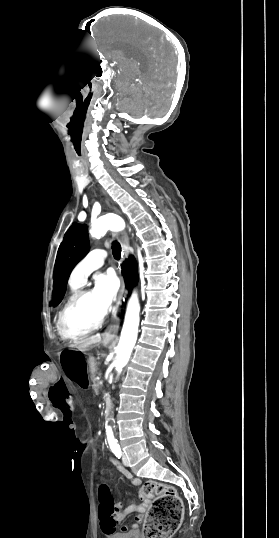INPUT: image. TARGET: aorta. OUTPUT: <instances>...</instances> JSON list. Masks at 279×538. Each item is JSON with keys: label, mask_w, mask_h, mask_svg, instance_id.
I'll return each instance as SVG.
<instances>
[{"label": "aorta", "mask_w": 279, "mask_h": 538, "mask_svg": "<svg viewBox=\"0 0 279 538\" xmlns=\"http://www.w3.org/2000/svg\"><path fill=\"white\" fill-rule=\"evenodd\" d=\"M124 227L125 223L121 217L115 214H107L98 218L92 224L90 234L93 238L100 239L108 230L120 231L123 230ZM139 313L140 305L137 293L134 292L128 301L121 337L116 350V360L114 365L118 374L121 373L122 369L128 363L135 346L140 321ZM106 434L110 448H118V441L114 438L110 426H106Z\"/></svg>", "instance_id": "1"}]
</instances>
